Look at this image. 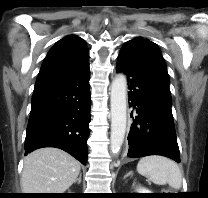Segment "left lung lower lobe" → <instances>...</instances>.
Returning <instances> with one entry per match:
<instances>
[{
	"label": "left lung lower lobe",
	"mask_w": 208,
	"mask_h": 198,
	"mask_svg": "<svg viewBox=\"0 0 208 198\" xmlns=\"http://www.w3.org/2000/svg\"><path fill=\"white\" fill-rule=\"evenodd\" d=\"M116 71L128 76L130 106L137 113L128 135L127 156L162 155L180 162L169 85L164 82L143 40H131L122 47Z\"/></svg>",
	"instance_id": "obj_1"
}]
</instances>
